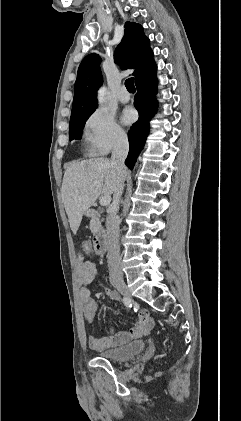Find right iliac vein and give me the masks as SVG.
Returning a JSON list of instances; mask_svg holds the SVG:
<instances>
[{
  "label": "right iliac vein",
  "mask_w": 241,
  "mask_h": 421,
  "mask_svg": "<svg viewBox=\"0 0 241 421\" xmlns=\"http://www.w3.org/2000/svg\"><path fill=\"white\" fill-rule=\"evenodd\" d=\"M112 285L126 298L131 300V293L122 279H114Z\"/></svg>",
  "instance_id": "63e3f726"
}]
</instances>
